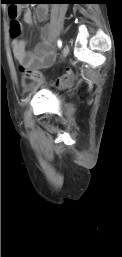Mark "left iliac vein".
Masks as SVG:
<instances>
[{
	"mask_svg": "<svg viewBox=\"0 0 122 257\" xmlns=\"http://www.w3.org/2000/svg\"><path fill=\"white\" fill-rule=\"evenodd\" d=\"M69 51H70L69 45H65L62 50V58H65L69 54Z\"/></svg>",
	"mask_w": 122,
	"mask_h": 257,
	"instance_id": "obj_1",
	"label": "left iliac vein"
}]
</instances>
